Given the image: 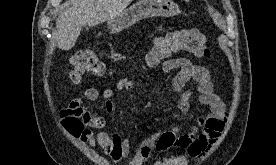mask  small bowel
Here are the masks:
<instances>
[{
  "label": "small bowel",
  "mask_w": 276,
  "mask_h": 165,
  "mask_svg": "<svg viewBox=\"0 0 276 165\" xmlns=\"http://www.w3.org/2000/svg\"><path fill=\"white\" fill-rule=\"evenodd\" d=\"M162 70L165 73L177 70L172 80V89L180 94L178 106L183 115H189L190 99L194 91L199 94L198 102L208 106L211 112L198 117L196 125L188 133L182 134L178 128H173L164 132H155L144 139L137 147L130 165H144L153 149L165 152L172 148H179L191 158H200L215 145L227 121L226 107L215 94L211 75L205 67L194 64L186 58H174L164 61ZM190 81L194 82V88L185 90ZM133 87V82L124 77L118 80L115 88L104 89L101 95L105 99L106 110L108 112L114 110L112 99L116 91H128ZM99 96L98 89L89 87L81 97L73 99L68 107L61 110L60 115L64 120H77L81 123L78 136L82 142L88 143L91 147H100L113 162H119L130 154V141L121 138L118 134L104 131L105 119L81 104L82 99L95 101Z\"/></svg>",
  "instance_id": "small-bowel-1"
}]
</instances>
